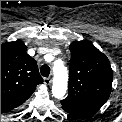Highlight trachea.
<instances>
[{"instance_id":"trachea-1","label":"trachea","mask_w":122,"mask_h":122,"mask_svg":"<svg viewBox=\"0 0 122 122\" xmlns=\"http://www.w3.org/2000/svg\"><path fill=\"white\" fill-rule=\"evenodd\" d=\"M41 75L44 77H48L50 74V67L47 65H42L40 69Z\"/></svg>"}]
</instances>
